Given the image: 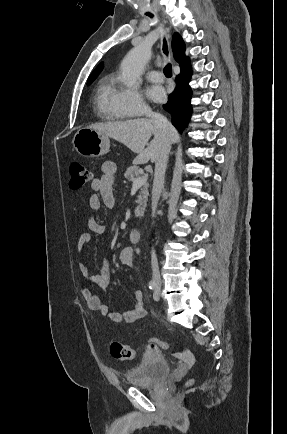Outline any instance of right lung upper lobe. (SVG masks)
Returning <instances> with one entry per match:
<instances>
[{"mask_svg":"<svg viewBox=\"0 0 287 434\" xmlns=\"http://www.w3.org/2000/svg\"><path fill=\"white\" fill-rule=\"evenodd\" d=\"M172 48H173V54H174V58L175 60L181 65H183L184 63H186L189 58L187 56H185L184 51H185V43L182 39V37L178 34L175 33L173 35V40H172ZM103 67L101 66V64L92 72V74L90 75L89 79L87 82H93L95 80V78L100 74V72L102 71Z\"/></svg>","mask_w":287,"mask_h":434,"instance_id":"cb5924a9","label":"right lung upper lobe"}]
</instances>
